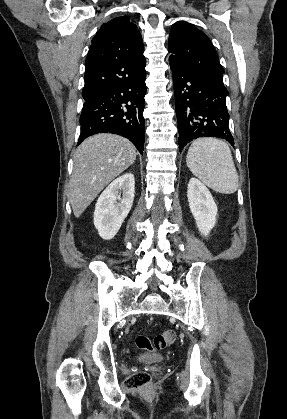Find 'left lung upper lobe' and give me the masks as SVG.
<instances>
[{
  "instance_id": "left-lung-upper-lobe-1",
  "label": "left lung upper lobe",
  "mask_w": 287,
  "mask_h": 419,
  "mask_svg": "<svg viewBox=\"0 0 287 419\" xmlns=\"http://www.w3.org/2000/svg\"><path fill=\"white\" fill-rule=\"evenodd\" d=\"M171 68L190 74L222 77L224 69L210 39L192 24H173L168 44Z\"/></svg>"
}]
</instances>
